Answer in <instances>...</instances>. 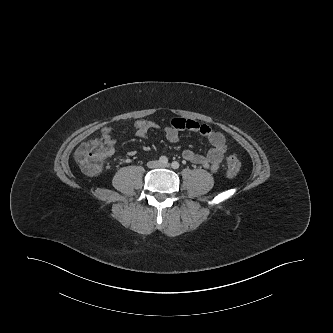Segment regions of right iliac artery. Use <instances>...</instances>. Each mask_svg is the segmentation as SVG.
Listing matches in <instances>:
<instances>
[{
    "label": "right iliac artery",
    "mask_w": 333,
    "mask_h": 333,
    "mask_svg": "<svg viewBox=\"0 0 333 333\" xmlns=\"http://www.w3.org/2000/svg\"><path fill=\"white\" fill-rule=\"evenodd\" d=\"M159 162L163 165L167 164L168 163V158L166 156H161L159 158Z\"/></svg>",
    "instance_id": "obj_1"
}]
</instances>
